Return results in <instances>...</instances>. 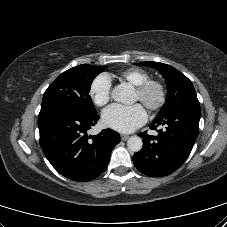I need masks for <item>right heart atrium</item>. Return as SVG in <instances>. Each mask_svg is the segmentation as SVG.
<instances>
[{
  "instance_id": "obj_1",
  "label": "right heart atrium",
  "mask_w": 227,
  "mask_h": 227,
  "mask_svg": "<svg viewBox=\"0 0 227 227\" xmlns=\"http://www.w3.org/2000/svg\"><path fill=\"white\" fill-rule=\"evenodd\" d=\"M89 96L96 106L106 105L111 98V80L109 76L105 74L97 76L90 84Z\"/></svg>"
}]
</instances>
